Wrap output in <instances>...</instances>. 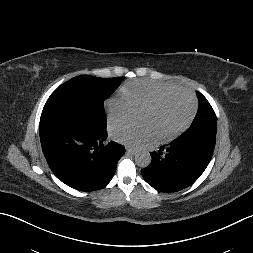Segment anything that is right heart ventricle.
<instances>
[{
    "instance_id": "1",
    "label": "right heart ventricle",
    "mask_w": 253,
    "mask_h": 253,
    "mask_svg": "<svg viewBox=\"0 0 253 253\" xmlns=\"http://www.w3.org/2000/svg\"><path fill=\"white\" fill-rule=\"evenodd\" d=\"M177 87L172 83L135 80L126 83L121 88V95L132 109H141L158 93Z\"/></svg>"
}]
</instances>
